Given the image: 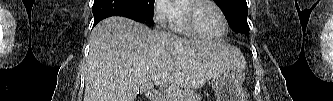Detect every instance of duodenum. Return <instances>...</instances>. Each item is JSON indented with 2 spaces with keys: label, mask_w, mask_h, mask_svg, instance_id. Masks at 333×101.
<instances>
[{
  "label": "duodenum",
  "mask_w": 333,
  "mask_h": 101,
  "mask_svg": "<svg viewBox=\"0 0 333 101\" xmlns=\"http://www.w3.org/2000/svg\"><path fill=\"white\" fill-rule=\"evenodd\" d=\"M147 97L151 101H163V96L159 91L151 90L147 93Z\"/></svg>",
  "instance_id": "obj_1"
}]
</instances>
